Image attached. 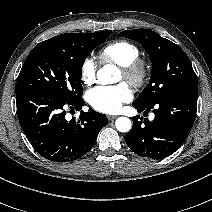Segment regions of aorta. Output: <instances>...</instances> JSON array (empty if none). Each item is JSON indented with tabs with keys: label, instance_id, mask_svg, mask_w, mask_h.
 I'll return each instance as SVG.
<instances>
[{
	"label": "aorta",
	"instance_id": "762f6f07",
	"mask_svg": "<svg viewBox=\"0 0 212 212\" xmlns=\"http://www.w3.org/2000/svg\"><path fill=\"white\" fill-rule=\"evenodd\" d=\"M113 73V66L107 65L97 72L98 80L101 83H110L111 74ZM116 129L120 132H129L132 128V122L127 117H119L115 121Z\"/></svg>",
	"mask_w": 212,
	"mask_h": 212
}]
</instances>
